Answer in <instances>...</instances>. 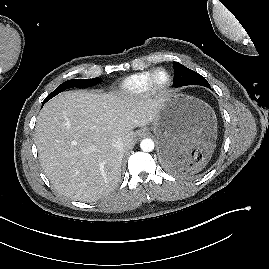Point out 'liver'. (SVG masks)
I'll return each instance as SVG.
<instances>
[{
    "mask_svg": "<svg viewBox=\"0 0 269 269\" xmlns=\"http://www.w3.org/2000/svg\"><path fill=\"white\" fill-rule=\"evenodd\" d=\"M159 101L129 94L82 90L61 93L45 104L35 127L41 166L55 189L78 201L99 200L121 180L133 129L154 122ZM121 139L123 150L113 148Z\"/></svg>",
    "mask_w": 269,
    "mask_h": 269,
    "instance_id": "1",
    "label": "liver"
}]
</instances>
